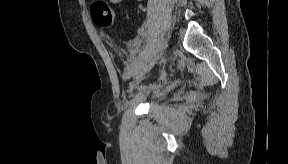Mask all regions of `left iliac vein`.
Listing matches in <instances>:
<instances>
[{
    "mask_svg": "<svg viewBox=\"0 0 288 164\" xmlns=\"http://www.w3.org/2000/svg\"><path fill=\"white\" fill-rule=\"evenodd\" d=\"M164 47H165V39L162 38L155 48V52L153 54L152 60L150 62H144L141 64L139 71H138V76H142L144 73H146L149 70L150 65L157 60L158 54L164 49Z\"/></svg>",
    "mask_w": 288,
    "mask_h": 164,
    "instance_id": "left-iliac-vein-1",
    "label": "left iliac vein"
}]
</instances>
